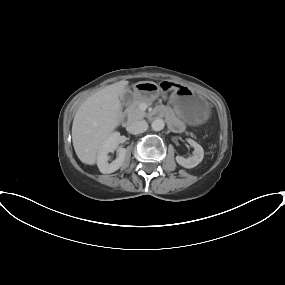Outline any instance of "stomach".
<instances>
[{
    "label": "stomach",
    "mask_w": 285,
    "mask_h": 285,
    "mask_svg": "<svg viewBox=\"0 0 285 285\" xmlns=\"http://www.w3.org/2000/svg\"><path fill=\"white\" fill-rule=\"evenodd\" d=\"M174 90L170 96V103L179 117L188 124H201L210 116V106L205 98L185 86L174 87L169 82L158 85L152 81L138 82L134 85L132 94L134 99L152 101L168 90Z\"/></svg>",
    "instance_id": "1"
}]
</instances>
